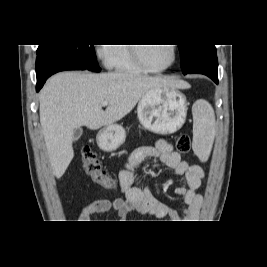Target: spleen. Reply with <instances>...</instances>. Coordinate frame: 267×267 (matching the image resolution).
I'll return each mask as SVG.
<instances>
[{
	"label": "spleen",
	"instance_id": "1",
	"mask_svg": "<svg viewBox=\"0 0 267 267\" xmlns=\"http://www.w3.org/2000/svg\"><path fill=\"white\" fill-rule=\"evenodd\" d=\"M215 136V116L212 108L205 105L194 115L193 150L202 160H207Z\"/></svg>",
	"mask_w": 267,
	"mask_h": 267
}]
</instances>
